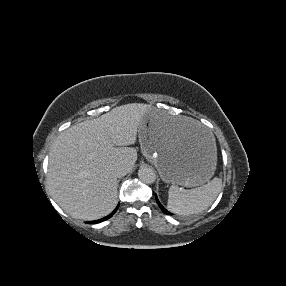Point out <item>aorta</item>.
<instances>
[{"label": "aorta", "instance_id": "1", "mask_svg": "<svg viewBox=\"0 0 286 286\" xmlns=\"http://www.w3.org/2000/svg\"><path fill=\"white\" fill-rule=\"evenodd\" d=\"M138 177L139 179L147 184H152L156 180V174L154 170L147 166H142L138 170Z\"/></svg>", "mask_w": 286, "mask_h": 286}]
</instances>
